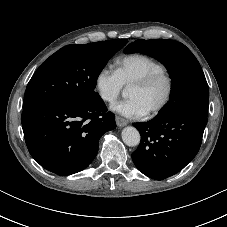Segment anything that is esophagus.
Segmentation results:
<instances>
[{
  "mask_svg": "<svg viewBox=\"0 0 227 227\" xmlns=\"http://www.w3.org/2000/svg\"><path fill=\"white\" fill-rule=\"evenodd\" d=\"M115 120H116L117 126H119V127H124V126H126L128 124L127 120H125V119H123V118H121L119 116H116Z\"/></svg>",
  "mask_w": 227,
  "mask_h": 227,
  "instance_id": "1",
  "label": "esophagus"
}]
</instances>
